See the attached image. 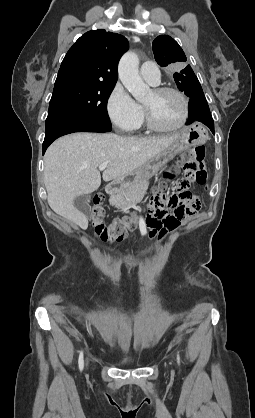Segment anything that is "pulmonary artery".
I'll return each instance as SVG.
<instances>
[{"label": "pulmonary artery", "mask_w": 255, "mask_h": 418, "mask_svg": "<svg viewBox=\"0 0 255 418\" xmlns=\"http://www.w3.org/2000/svg\"><path fill=\"white\" fill-rule=\"evenodd\" d=\"M142 78L151 85H157L160 82V72L153 62H144L140 68Z\"/></svg>", "instance_id": "e3ab8cb5"}]
</instances>
